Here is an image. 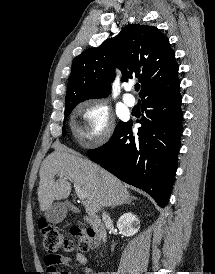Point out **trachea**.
Masks as SVG:
<instances>
[{
  "label": "trachea",
  "instance_id": "trachea-1",
  "mask_svg": "<svg viewBox=\"0 0 215 274\" xmlns=\"http://www.w3.org/2000/svg\"><path fill=\"white\" fill-rule=\"evenodd\" d=\"M140 89V85H135V90L138 91Z\"/></svg>",
  "mask_w": 215,
  "mask_h": 274
}]
</instances>
